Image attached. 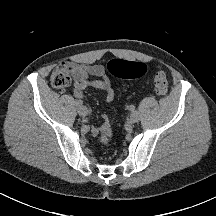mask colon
I'll list each match as a JSON object with an SVG mask.
<instances>
[{
  "instance_id": "1",
  "label": "colon",
  "mask_w": 216,
  "mask_h": 216,
  "mask_svg": "<svg viewBox=\"0 0 216 216\" xmlns=\"http://www.w3.org/2000/svg\"><path fill=\"white\" fill-rule=\"evenodd\" d=\"M109 73L117 78H139L146 72V65L141 62H130L122 59H113L108 63ZM70 71L66 64L58 66L51 74V84L57 88H65L70 84ZM154 88L159 96L168 93V81L163 72L156 73ZM97 140L102 145H109L114 139V131L107 116H103L97 129Z\"/></svg>"
}]
</instances>
